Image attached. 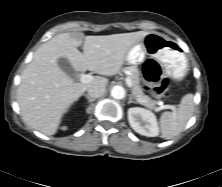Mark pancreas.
Wrapping results in <instances>:
<instances>
[{"mask_svg":"<svg viewBox=\"0 0 222 187\" xmlns=\"http://www.w3.org/2000/svg\"><path fill=\"white\" fill-rule=\"evenodd\" d=\"M131 75L129 78L132 81L131 93L132 96L143 106L159 111L160 108L156 106V102L151 100V98L143 93V90L140 85V74L139 70L135 66L125 68Z\"/></svg>","mask_w":222,"mask_h":187,"instance_id":"cf45deb5","label":"pancreas"}]
</instances>
